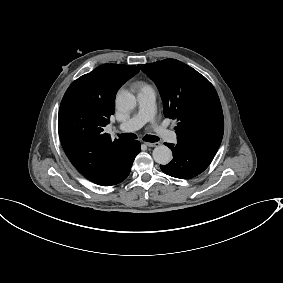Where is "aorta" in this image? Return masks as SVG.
<instances>
[{
  "mask_svg": "<svg viewBox=\"0 0 283 283\" xmlns=\"http://www.w3.org/2000/svg\"><path fill=\"white\" fill-rule=\"evenodd\" d=\"M116 103L121 109L132 110L136 107V98L132 93L122 91L117 95ZM152 156L156 163L166 165L172 160V151L167 146L160 145L154 148Z\"/></svg>",
  "mask_w": 283,
  "mask_h": 283,
  "instance_id": "1",
  "label": "aorta"
}]
</instances>
